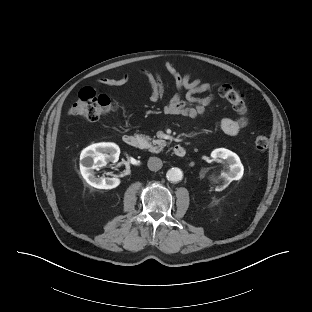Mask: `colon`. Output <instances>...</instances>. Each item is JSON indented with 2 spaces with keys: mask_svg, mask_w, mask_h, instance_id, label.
<instances>
[{
  "mask_svg": "<svg viewBox=\"0 0 312 312\" xmlns=\"http://www.w3.org/2000/svg\"><path fill=\"white\" fill-rule=\"evenodd\" d=\"M220 95L232 106L239 115H245L248 111L246 98L231 84H223L219 88ZM116 109V103L105 95H98L90 87H84L79 92L77 101L70 109L73 116L85 118L89 121H97L104 115ZM269 146L266 136H258L254 140V148L257 151H265Z\"/></svg>",
  "mask_w": 312,
  "mask_h": 312,
  "instance_id": "1",
  "label": "colon"
}]
</instances>
